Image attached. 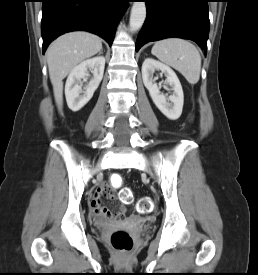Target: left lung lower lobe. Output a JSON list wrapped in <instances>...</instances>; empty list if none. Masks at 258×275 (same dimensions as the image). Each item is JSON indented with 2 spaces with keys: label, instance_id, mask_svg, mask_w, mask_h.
<instances>
[{
  "label": "left lung lower lobe",
  "instance_id": "left-lung-lower-lobe-1",
  "mask_svg": "<svg viewBox=\"0 0 258 275\" xmlns=\"http://www.w3.org/2000/svg\"><path fill=\"white\" fill-rule=\"evenodd\" d=\"M147 16L136 41L144 44L169 37L193 40L206 54L209 35V0H144Z\"/></svg>",
  "mask_w": 258,
  "mask_h": 275
}]
</instances>
